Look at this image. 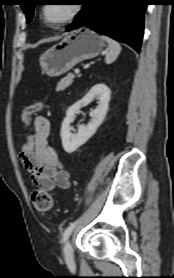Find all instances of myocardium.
I'll list each match as a JSON object with an SVG mask.
<instances>
[{
  "mask_svg": "<svg viewBox=\"0 0 174 278\" xmlns=\"http://www.w3.org/2000/svg\"><path fill=\"white\" fill-rule=\"evenodd\" d=\"M45 6L46 5H42L40 7V11H39L40 18L46 26H48L50 28H53V29H58V28H60L64 25L72 22L81 13L82 8H83V6L80 3L72 4L71 12L69 13V15L65 19H63V20H61L57 23H49L44 17Z\"/></svg>",
  "mask_w": 174,
  "mask_h": 278,
  "instance_id": "1",
  "label": "myocardium"
}]
</instances>
